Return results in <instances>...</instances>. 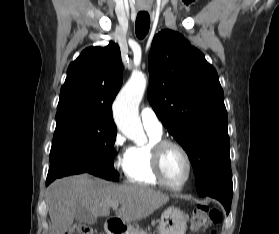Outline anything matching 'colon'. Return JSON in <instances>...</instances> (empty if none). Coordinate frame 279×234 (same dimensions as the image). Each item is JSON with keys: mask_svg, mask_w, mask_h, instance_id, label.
<instances>
[{"mask_svg": "<svg viewBox=\"0 0 279 234\" xmlns=\"http://www.w3.org/2000/svg\"><path fill=\"white\" fill-rule=\"evenodd\" d=\"M221 220L222 214L218 209L209 205H199L191 215L190 230L193 233H199L212 224H218ZM64 234H92V230L87 225L77 224ZM211 234H217V232L214 230Z\"/></svg>", "mask_w": 279, "mask_h": 234, "instance_id": "obj_1", "label": "colon"}]
</instances>
